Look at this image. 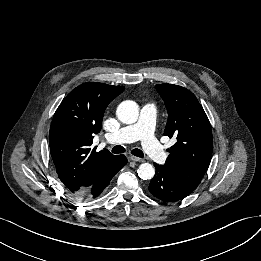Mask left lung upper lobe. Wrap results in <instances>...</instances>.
I'll return each instance as SVG.
<instances>
[{
  "mask_svg": "<svg viewBox=\"0 0 261 261\" xmlns=\"http://www.w3.org/2000/svg\"><path fill=\"white\" fill-rule=\"evenodd\" d=\"M156 89L168 111L164 135L177 139L167 150L170 154L164 167L182 188L193 192L207 171L212 156L210 122L191 91L168 83L157 84Z\"/></svg>",
  "mask_w": 261,
  "mask_h": 261,
  "instance_id": "1",
  "label": "left lung upper lobe"
}]
</instances>
